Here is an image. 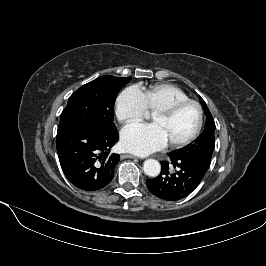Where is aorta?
<instances>
[{"instance_id":"762f6f07","label":"aorta","mask_w":266,"mask_h":266,"mask_svg":"<svg viewBox=\"0 0 266 266\" xmlns=\"http://www.w3.org/2000/svg\"><path fill=\"white\" fill-rule=\"evenodd\" d=\"M143 170L147 176L156 177L160 174L161 165L155 159H147L143 163Z\"/></svg>"}]
</instances>
